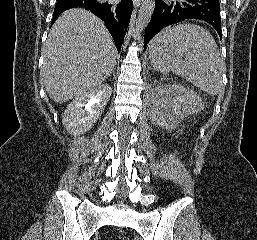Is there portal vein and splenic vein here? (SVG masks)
<instances>
[{"label": "portal vein and splenic vein", "mask_w": 257, "mask_h": 240, "mask_svg": "<svg viewBox=\"0 0 257 240\" xmlns=\"http://www.w3.org/2000/svg\"><path fill=\"white\" fill-rule=\"evenodd\" d=\"M178 60H179V61H182V59H181V58H178Z\"/></svg>", "instance_id": "portal-vein-and-splenic-vein-1"}]
</instances>
